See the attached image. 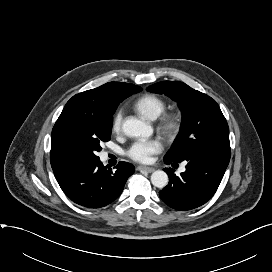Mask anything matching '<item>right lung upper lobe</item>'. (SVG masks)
Returning a JSON list of instances; mask_svg holds the SVG:
<instances>
[{"instance_id":"cb5924a9","label":"right lung upper lobe","mask_w":272,"mask_h":272,"mask_svg":"<svg viewBox=\"0 0 272 272\" xmlns=\"http://www.w3.org/2000/svg\"><path fill=\"white\" fill-rule=\"evenodd\" d=\"M140 88L129 83L109 82L95 89L76 94L66 103L53 130L61 122L74 117L86 115L100 118L111 115L124 99L136 93ZM50 162L55 175L61 173L72 164L58 152L52 137Z\"/></svg>"}]
</instances>
